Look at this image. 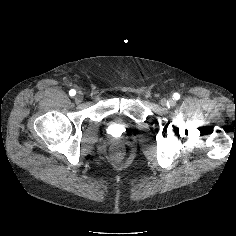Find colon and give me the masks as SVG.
Instances as JSON below:
<instances>
[{"label": "colon", "mask_w": 236, "mask_h": 236, "mask_svg": "<svg viewBox=\"0 0 236 236\" xmlns=\"http://www.w3.org/2000/svg\"><path fill=\"white\" fill-rule=\"evenodd\" d=\"M112 155L116 160H119L123 156V148L120 145H114L112 148Z\"/></svg>", "instance_id": "obj_1"}]
</instances>
